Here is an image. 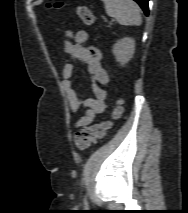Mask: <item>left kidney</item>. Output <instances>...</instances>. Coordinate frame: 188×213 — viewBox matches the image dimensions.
<instances>
[{"instance_id": "1", "label": "left kidney", "mask_w": 188, "mask_h": 213, "mask_svg": "<svg viewBox=\"0 0 188 213\" xmlns=\"http://www.w3.org/2000/svg\"><path fill=\"white\" fill-rule=\"evenodd\" d=\"M112 51L116 61L124 66L133 57L135 52V40L130 37H124L114 44Z\"/></svg>"}]
</instances>
